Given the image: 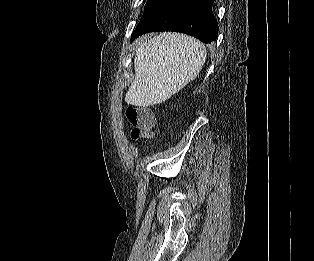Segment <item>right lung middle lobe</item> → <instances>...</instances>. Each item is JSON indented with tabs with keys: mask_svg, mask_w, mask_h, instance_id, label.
I'll use <instances>...</instances> for the list:
<instances>
[{
	"mask_svg": "<svg viewBox=\"0 0 314 261\" xmlns=\"http://www.w3.org/2000/svg\"><path fill=\"white\" fill-rule=\"evenodd\" d=\"M173 0H148L145 6L143 16L138 25L147 22L158 14L162 9L168 6Z\"/></svg>",
	"mask_w": 314,
	"mask_h": 261,
	"instance_id": "obj_1",
	"label": "right lung middle lobe"
}]
</instances>
